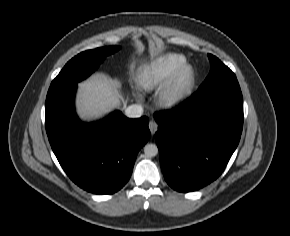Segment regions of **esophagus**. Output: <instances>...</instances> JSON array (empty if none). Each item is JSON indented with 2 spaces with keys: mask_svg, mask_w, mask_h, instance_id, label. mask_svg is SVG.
Listing matches in <instances>:
<instances>
[{
  "mask_svg": "<svg viewBox=\"0 0 290 236\" xmlns=\"http://www.w3.org/2000/svg\"><path fill=\"white\" fill-rule=\"evenodd\" d=\"M157 128H158V124L154 120H150L149 129L152 135L155 134V132L157 131Z\"/></svg>",
  "mask_w": 290,
  "mask_h": 236,
  "instance_id": "esophagus-1",
  "label": "esophagus"
}]
</instances>
